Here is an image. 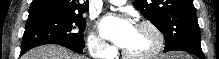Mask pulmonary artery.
Listing matches in <instances>:
<instances>
[{
  "mask_svg": "<svg viewBox=\"0 0 219 59\" xmlns=\"http://www.w3.org/2000/svg\"><path fill=\"white\" fill-rule=\"evenodd\" d=\"M108 2L110 4L117 5V6H121L126 3L125 0H109Z\"/></svg>",
  "mask_w": 219,
  "mask_h": 59,
  "instance_id": "1",
  "label": "pulmonary artery"
}]
</instances>
